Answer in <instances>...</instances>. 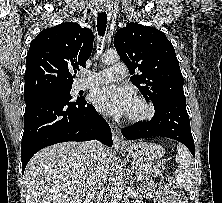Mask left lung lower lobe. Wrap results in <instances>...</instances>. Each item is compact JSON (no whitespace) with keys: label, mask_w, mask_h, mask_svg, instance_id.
Returning a JSON list of instances; mask_svg holds the SVG:
<instances>
[{"label":"left lung lower lobe","mask_w":222,"mask_h":203,"mask_svg":"<svg viewBox=\"0 0 222 203\" xmlns=\"http://www.w3.org/2000/svg\"><path fill=\"white\" fill-rule=\"evenodd\" d=\"M155 114L147 123H136L122 129L127 140L162 136L184 144L195 156L186 100L169 98L154 106Z\"/></svg>","instance_id":"left-lung-lower-lobe-1"}]
</instances>
